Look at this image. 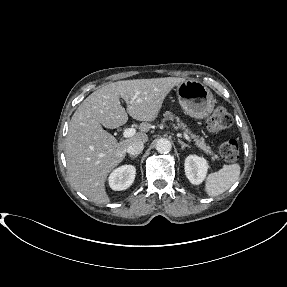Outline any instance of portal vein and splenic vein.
I'll use <instances>...</instances> for the list:
<instances>
[{"mask_svg": "<svg viewBox=\"0 0 287 287\" xmlns=\"http://www.w3.org/2000/svg\"><path fill=\"white\" fill-rule=\"evenodd\" d=\"M135 133H136V130L134 128H127L123 131V137L129 138V137L134 136ZM184 138L189 142L191 141L190 137L186 133H184Z\"/></svg>", "mask_w": 287, "mask_h": 287, "instance_id": "1", "label": "portal vein and splenic vein"}]
</instances>
